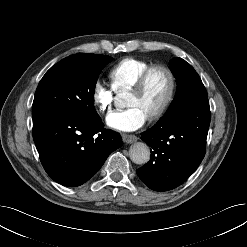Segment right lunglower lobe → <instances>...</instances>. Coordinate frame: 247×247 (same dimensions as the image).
I'll return each instance as SVG.
<instances>
[{
  "label": "right lung lower lobe",
  "instance_id": "98d812e1",
  "mask_svg": "<svg viewBox=\"0 0 247 247\" xmlns=\"http://www.w3.org/2000/svg\"><path fill=\"white\" fill-rule=\"evenodd\" d=\"M33 139L47 174L68 187L88 181L122 145L121 135L104 129L98 115L88 118L72 111L33 119Z\"/></svg>",
  "mask_w": 247,
  "mask_h": 247
}]
</instances>
